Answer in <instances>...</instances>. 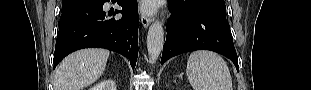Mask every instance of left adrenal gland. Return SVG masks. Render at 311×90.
Returning a JSON list of instances; mask_svg holds the SVG:
<instances>
[{"label": "left adrenal gland", "mask_w": 311, "mask_h": 90, "mask_svg": "<svg viewBox=\"0 0 311 90\" xmlns=\"http://www.w3.org/2000/svg\"><path fill=\"white\" fill-rule=\"evenodd\" d=\"M178 77L181 78V77H182V74L178 75Z\"/></svg>", "instance_id": "a2214340"}]
</instances>
